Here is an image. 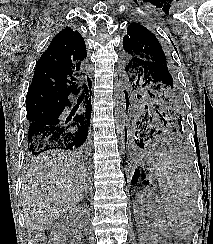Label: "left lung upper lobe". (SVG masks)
Returning <instances> with one entry per match:
<instances>
[{
  "label": "left lung upper lobe",
  "instance_id": "5c2ea615",
  "mask_svg": "<svg viewBox=\"0 0 213 244\" xmlns=\"http://www.w3.org/2000/svg\"><path fill=\"white\" fill-rule=\"evenodd\" d=\"M121 70L126 106L152 117L165 134L186 133L185 107L171 59L156 36L139 23L123 38Z\"/></svg>",
  "mask_w": 213,
  "mask_h": 244
}]
</instances>
